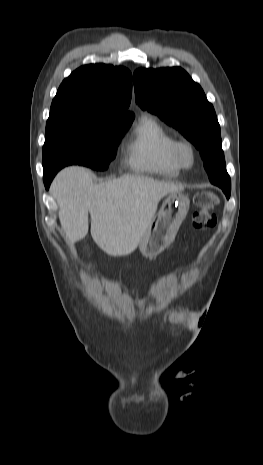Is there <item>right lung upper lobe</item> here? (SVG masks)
I'll return each mask as SVG.
<instances>
[{"mask_svg": "<svg viewBox=\"0 0 263 465\" xmlns=\"http://www.w3.org/2000/svg\"><path fill=\"white\" fill-rule=\"evenodd\" d=\"M132 75L122 66L85 65L60 85L51 109L82 108L133 117L127 109L131 101Z\"/></svg>", "mask_w": 263, "mask_h": 465, "instance_id": "right-lung-upper-lobe-1", "label": "right lung upper lobe"}]
</instances>
